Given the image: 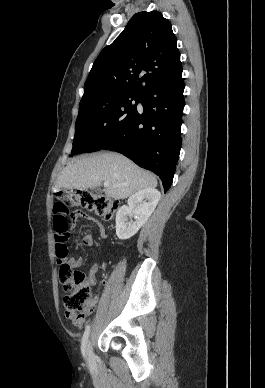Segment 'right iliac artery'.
<instances>
[{
    "label": "right iliac artery",
    "mask_w": 265,
    "mask_h": 388,
    "mask_svg": "<svg viewBox=\"0 0 265 388\" xmlns=\"http://www.w3.org/2000/svg\"><path fill=\"white\" fill-rule=\"evenodd\" d=\"M89 332H90V325H88L84 331V334H83V337H82V343H81V350H82V354H83V357L85 358L86 355H85V347H86V343H87V339H88V336H89Z\"/></svg>",
    "instance_id": "1"
}]
</instances>
